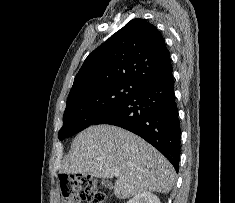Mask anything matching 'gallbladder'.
Instances as JSON below:
<instances>
[{
  "instance_id": "obj_1",
  "label": "gallbladder",
  "mask_w": 235,
  "mask_h": 203,
  "mask_svg": "<svg viewBox=\"0 0 235 203\" xmlns=\"http://www.w3.org/2000/svg\"><path fill=\"white\" fill-rule=\"evenodd\" d=\"M102 183H103L105 186L109 187V188L112 187V183H111L110 181H108V180H103Z\"/></svg>"
}]
</instances>
